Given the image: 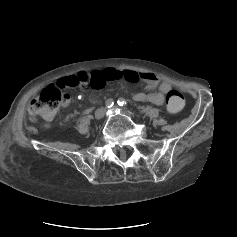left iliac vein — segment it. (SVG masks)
Returning <instances> with one entry per match:
<instances>
[{"instance_id": "obj_1", "label": "left iliac vein", "mask_w": 237, "mask_h": 237, "mask_svg": "<svg viewBox=\"0 0 237 237\" xmlns=\"http://www.w3.org/2000/svg\"><path fill=\"white\" fill-rule=\"evenodd\" d=\"M110 110L115 111V110H117V108H116V107H113V108H111Z\"/></svg>"}]
</instances>
